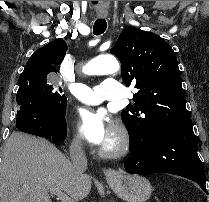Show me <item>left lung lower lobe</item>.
<instances>
[{"instance_id":"left-lung-lower-lobe-1","label":"left lung lower lobe","mask_w":209,"mask_h":202,"mask_svg":"<svg viewBox=\"0 0 209 202\" xmlns=\"http://www.w3.org/2000/svg\"><path fill=\"white\" fill-rule=\"evenodd\" d=\"M129 150L131 156L124 163L128 173L179 175L195 181L208 194L192 126L172 130L150 142L130 140Z\"/></svg>"}]
</instances>
